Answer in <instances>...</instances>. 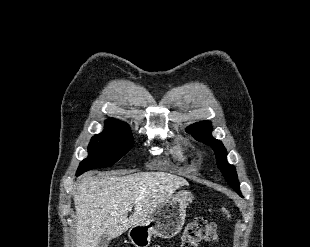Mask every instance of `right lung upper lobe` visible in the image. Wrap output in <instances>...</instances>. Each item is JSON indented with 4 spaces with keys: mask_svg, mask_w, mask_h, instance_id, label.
Returning <instances> with one entry per match:
<instances>
[{
    "mask_svg": "<svg viewBox=\"0 0 310 247\" xmlns=\"http://www.w3.org/2000/svg\"><path fill=\"white\" fill-rule=\"evenodd\" d=\"M110 121H116V122H121V121H118V120H115V119H109ZM123 123V122H121Z\"/></svg>",
    "mask_w": 310,
    "mask_h": 247,
    "instance_id": "right-lung-upper-lobe-1",
    "label": "right lung upper lobe"
}]
</instances>
